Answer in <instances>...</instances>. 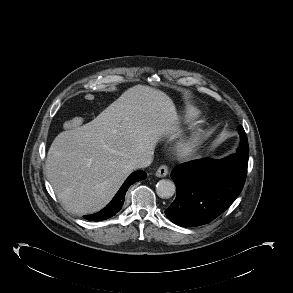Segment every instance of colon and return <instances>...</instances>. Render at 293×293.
<instances>
[{"mask_svg":"<svg viewBox=\"0 0 293 293\" xmlns=\"http://www.w3.org/2000/svg\"><path fill=\"white\" fill-rule=\"evenodd\" d=\"M86 101L92 102L95 100V96L92 93H87L85 95ZM83 124V119L81 117L72 118L64 123L65 129H74Z\"/></svg>","mask_w":293,"mask_h":293,"instance_id":"1","label":"colon"}]
</instances>
